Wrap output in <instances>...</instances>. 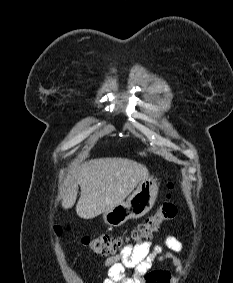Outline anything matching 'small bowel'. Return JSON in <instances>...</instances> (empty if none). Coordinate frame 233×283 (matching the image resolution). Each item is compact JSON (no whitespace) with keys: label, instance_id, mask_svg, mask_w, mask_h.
I'll return each mask as SVG.
<instances>
[{"label":"small bowel","instance_id":"c3829d8e","mask_svg":"<svg viewBox=\"0 0 233 283\" xmlns=\"http://www.w3.org/2000/svg\"><path fill=\"white\" fill-rule=\"evenodd\" d=\"M164 246L169 251L164 250ZM183 245L173 236H167L163 245H152L151 241H143L134 247H126L119 255L106 260L108 275L103 283H170L172 276L167 271H152L155 260H171L179 273L183 265L174 253H180ZM125 268L134 269L132 277H127Z\"/></svg>","mask_w":233,"mask_h":283}]
</instances>
